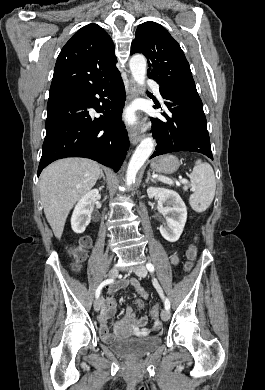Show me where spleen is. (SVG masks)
Segmentation results:
<instances>
[{
    "label": "spleen",
    "mask_w": 265,
    "mask_h": 390,
    "mask_svg": "<svg viewBox=\"0 0 265 390\" xmlns=\"http://www.w3.org/2000/svg\"><path fill=\"white\" fill-rule=\"evenodd\" d=\"M193 185V193L189 197L191 208L204 212L211 205L216 190V180L210 164L197 160L192 172L189 174Z\"/></svg>",
    "instance_id": "obj_1"
}]
</instances>
